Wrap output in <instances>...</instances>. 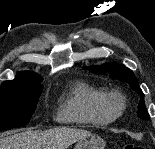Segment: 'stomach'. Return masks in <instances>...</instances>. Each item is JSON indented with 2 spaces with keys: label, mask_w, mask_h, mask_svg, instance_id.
Here are the masks:
<instances>
[{
  "label": "stomach",
  "mask_w": 155,
  "mask_h": 149,
  "mask_svg": "<svg viewBox=\"0 0 155 149\" xmlns=\"http://www.w3.org/2000/svg\"><path fill=\"white\" fill-rule=\"evenodd\" d=\"M104 140L96 134H89L79 139L74 149H104Z\"/></svg>",
  "instance_id": "1"
}]
</instances>
